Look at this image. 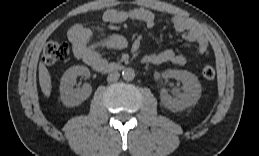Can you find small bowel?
<instances>
[{"label":"small bowel","instance_id":"c3829d8e","mask_svg":"<svg viewBox=\"0 0 259 156\" xmlns=\"http://www.w3.org/2000/svg\"><path fill=\"white\" fill-rule=\"evenodd\" d=\"M103 20L110 24H119L125 21L143 22L148 29H153L160 19L150 10L137 9H107L103 13ZM173 29L181 33L183 39L195 46L199 56L209 54V45L202 31L190 20L175 16L171 19ZM68 38L72 43L73 53L94 69L106 60L101 54V48L121 49L126 46V40L120 35L93 37L92 31L82 24L73 25L68 31ZM145 63L161 65L165 63L184 65L188 58L182 54L167 49L158 53L147 54L143 58Z\"/></svg>","mask_w":259,"mask_h":156}]
</instances>
